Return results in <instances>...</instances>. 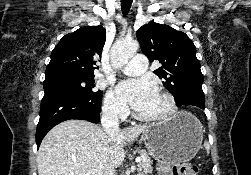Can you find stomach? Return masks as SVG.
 Listing matches in <instances>:
<instances>
[{"label":"stomach","instance_id":"obj_1","mask_svg":"<svg viewBox=\"0 0 251 175\" xmlns=\"http://www.w3.org/2000/svg\"><path fill=\"white\" fill-rule=\"evenodd\" d=\"M203 133V125L193 113L178 111L168 121L148 125L141 139L159 163H178L195 157L201 147Z\"/></svg>","mask_w":251,"mask_h":175}]
</instances>
